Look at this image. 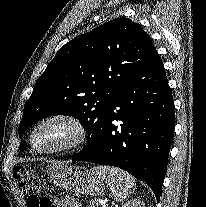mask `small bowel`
I'll list each match as a JSON object with an SVG mask.
<instances>
[{
    "label": "small bowel",
    "mask_w": 206,
    "mask_h": 207,
    "mask_svg": "<svg viewBox=\"0 0 206 207\" xmlns=\"http://www.w3.org/2000/svg\"><path fill=\"white\" fill-rule=\"evenodd\" d=\"M53 207H81V204L71 197L52 198Z\"/></svg>",
    "instance_id": "obj_1"
}]
</instances>
